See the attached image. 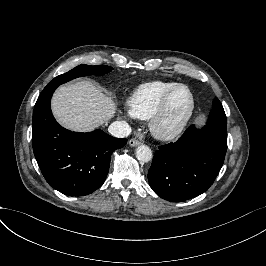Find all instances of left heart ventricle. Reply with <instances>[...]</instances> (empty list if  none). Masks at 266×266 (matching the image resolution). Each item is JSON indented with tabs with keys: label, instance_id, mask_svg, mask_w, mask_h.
<instances>
[{
	"label": "left heart ventricle",
	"instance_id": "1",
	"mask_svg": "<svg viewBox=\"0 0 266 266\" xmlns=\"http://www.w3.org/2000/svg\"><path fill=\"white\" fill-rule=\"evenodd\" d=\"M191 105L189 91L184 87L177 89L170 99L164 114L158 121L159 129L168 132L179 127L188 116Z\"/></svg>",
	"mask_w": 266,
	"mask_h": 266
}]
</instances>
